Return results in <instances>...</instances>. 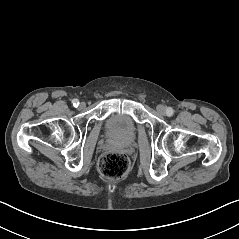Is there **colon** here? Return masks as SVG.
<instances>
[{"instance_id":"colon-1","label":"colon","mask_w":239,"mask_h":239,"mask_svg":"<svg viewBox=\"0 0 239 239\" xmlns=\"http://www.w3.org/2000/svg\"><path fill=\"white\" fill-rule=\"evenodd\" d=\"M130 167L129 158L119 152L104 154L99 162V169L103 176L109 179H119L127 174Z\"/></svg>"}]
</instances>
